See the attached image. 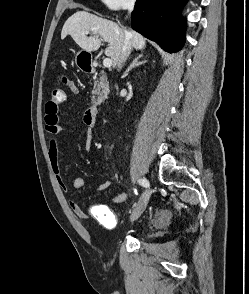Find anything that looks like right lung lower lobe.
<instances>
[{"label": "right lung lower lobe", "mask_w": 249, "mask_h": 294, "mask_svg": "<svg viewBox=\"0 0 249 294\" xmlns=\"http://www.w3.org/2000/svg\"><path fill=\"white\" fill-rule=\"evenodd\" d=\"M186 1L137 0L132 13V28L164 50L177 52L185 41V21L179 18V10Z\"/></svg>", "instance_id": "right-lung-lower-lobe-1"}]
</instances>
